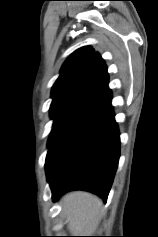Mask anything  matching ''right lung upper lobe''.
Wrapping results in <instances>:
<instances>
[{
    "label": "right lung upper lobe",
    "instance_id": "1",
    "mask_svg": "<svg viewBox=\"0 0 158 237\" xmlns=\"http://www.w3.org/2000/svg\"><path fill=\"white\" fill-rule=\"evenodd\" d=\"M52 88L53 101L84 105L108 89V73L104 60L90 47L76 50L61 68Z\"/></svg>",
    "mask_w": 158,
    "mask_h": 237
}]
</instances>
